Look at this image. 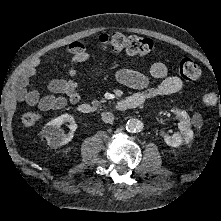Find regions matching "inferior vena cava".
Wrapping results in <instances>:
<instances>
[{
    "label": "inferior vena cava",
    "mask_w": 221,
    "mask_h": 221,
    "mask_svg": "<svg viewBox=\"0 0 221 221\" xmlns=\"http://www.w3.org/2000/svg\"><path fill=\"white\" fill-rule=\"evenodd\" d=\"M102 120L105 123H112L114 120V115L111 112H104L101 114Z\"/></svg>",
    "instance_id": "inferior-vena-cava-1"
}]
</instances>
